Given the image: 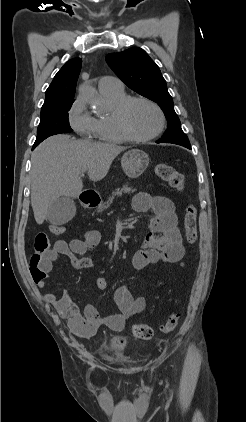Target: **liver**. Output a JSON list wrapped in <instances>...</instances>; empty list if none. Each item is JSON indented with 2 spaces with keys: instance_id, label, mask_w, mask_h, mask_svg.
I'll list each match as a JSON object with an SVG mask.
<instances>
[{
  "instance_id": "1",
  "label": "liver",
  "mask_w": 246,
  "mask_h": 422,
  "mask_svg": "<svg viewBox=\"0 0 246 422\" xmlns=\"http://www.w3.org/2000/svg\"><path fill=\"white\" fill-rule=\"evenodd\" d=\"M124 150L125 147L113 144L75 140L69 135H55L43 141L31 156V206L37 224L44 222L57 198L80 194L83 170L90 180L100 181Z\"/></svg>"
}]
</instances>
